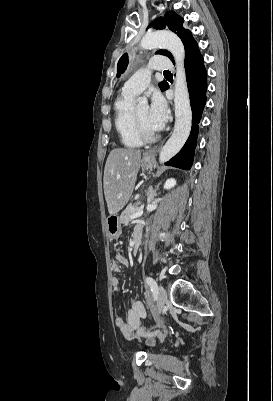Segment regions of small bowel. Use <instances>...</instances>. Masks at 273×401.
<instances>
[{
    "label": "small bowel",
    "instance_id": "1",
    "mask_svg": "<svg viewBox=\"0 0 273 401\" xmlns=\"http://www.w3.org/2000/svg\"><path fill=\"white\" fill-rule=\"evenodd\" d=\"M139 232H141V229L135 228L133 232V238L135 234ZM127 264H128V259L123 254L118 253L112 260V269L114 272L118 273L121 272L123 267ZM112 286L116 291H118L120 288V282L116 276L112 278ZM157 310L158 307L156 305L150 306V311L152 312L153 318L159 317V312ZM146 318H147V311L145 306L141 301L134 300L132 301L131 306L128 309L125 317L117 316L115 318V326L123 337L131 338L135 333L143 329L144 321L146 320ZM170 332H171L170 328L161 326L157 328V332L143 333L142 339L149 340V343L151 345H156L158 341H163L165 339V336H168ZM142 339L140 337H136L135 339H130V342H135L136 344H140L142 342Z\"/></svg>",
    "mask_w": 273,
    "mask_h": 401
}]
</instances>
